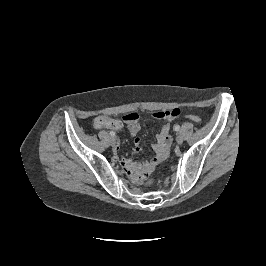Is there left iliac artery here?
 Returning a JSON list of instances; mask_svg holds the SVG:
<instances>
[{
  "label": "left iliac artery",
  "mask_w": 266,
  "mask_h": 266,
  "mask_svg": "<svg viewBox=\"0 0 266 266\" xmlns=\"http://www.w3.org/2000/svg\"><path fill=\"white\" fill-rule=\"evenodd\" d=\"M174 130H175V131H179V130H180V126H179V125H175V126H174Z\"/></svg>",
  "instance_id": "left-iliac-artery-1"
}]
</instances>
